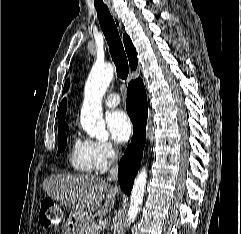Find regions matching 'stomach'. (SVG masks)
<instances>
[{
    "mask_svg": "<svg viewBox=\"0 0 241 234\" xmlns=\"http://www.w3.org/2000/svg\"><path fill=\"white\" fill-rule=\"evenodd\" d=\"M88 224L89 220L87 218V215L85 213L75 211L71 214L66 223V234H81V232L84 229V226Z\"/></svg>",
    "mask_w": 241,
    "mask_h": 234,
    "instance_id": "1",
    "label": "stomach"
}]
</instances>
